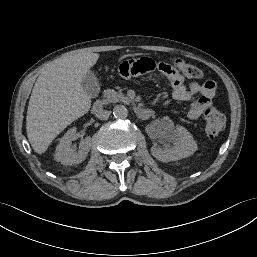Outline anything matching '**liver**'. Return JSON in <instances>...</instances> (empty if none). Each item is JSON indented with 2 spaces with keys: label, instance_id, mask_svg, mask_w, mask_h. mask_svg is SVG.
Returning <instances> with one entry per match:
<instances>
[{
  "label": "liver",
  "instance_id": "6515ba94",
  "mask_svg": "<svg viewBox=\"0 0 257 257\" xmlns=\"http://www.w3.org/2000/svg\"><path fill=\"white\" fill-rule=\"evenodd\" d=\"M99 56L79 53L58 58L39 75L26 116L28 140L36 153H44L58 134L89 111L91 97L81 82Z\"/></svg>",
  "mask_w": 257,
  "mask_h": 257
}]
</instances>
